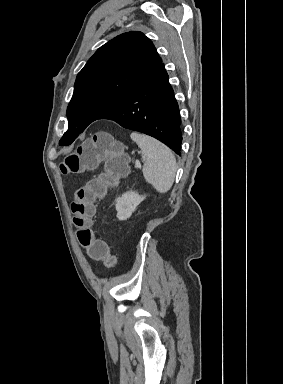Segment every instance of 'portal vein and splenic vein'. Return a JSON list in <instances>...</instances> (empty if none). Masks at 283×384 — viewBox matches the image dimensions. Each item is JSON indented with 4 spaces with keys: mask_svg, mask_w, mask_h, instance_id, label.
<instances>
[{
    "mask_svg": "<svg viewBox=\"0 0 283 384\" xmlns=\"http://www.w3.org/2000/svg\"><path fill=\"white\" fill-rule=\"evenodd\" d=\"M135 168H141V164L139 160H136Z\"/></svg>",
    "mask_w": 283,
    "mask_h": 384,
    "instance_id": "1",
    "label": "portal vein and splenic vein"
}]
</instances>
